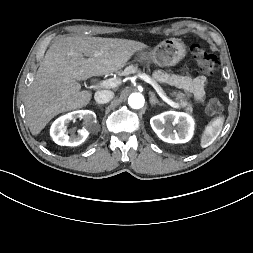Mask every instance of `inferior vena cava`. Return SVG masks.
I'll use <instances>...</instances> for the list:
<instances>
[{"instance_id": "inferior-vena-cava-1", "label": "inferior vena cava", "mask_w": 253, "mask_h": 253, "mask_svg": "<svg viewBox=\"0 0 253 253\" xmlns=\"http://www.w3.org/2000/svg\"><path fill=\"white\" fill-rule=\"evenodd\" d=\"M114 97V93L110 90H100L94 95V99L99 104L108 103Z\"/></svg>"}]
</instances>
